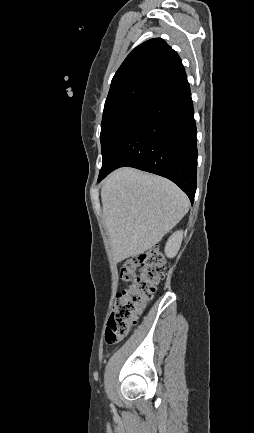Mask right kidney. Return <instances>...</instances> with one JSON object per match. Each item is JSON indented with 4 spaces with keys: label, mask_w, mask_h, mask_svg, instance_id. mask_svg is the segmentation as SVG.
Listing matches in <instances>:
<instances>
[{
    "label": "right kidney",
    "mask_w": 254,
    "mask_h": 433,
    "mask_svg": "<svg viewBox=\"0 0 254 433\" xmlns=\"http://www.w3.org/2000/svg\"><path fill=\"white\" fill-rule=\"evenodd\" d=\"M182 240H183L182 231H177L170 236L165 246V254L167 257L173 258L176 256L177 252L180 249Z\"/></svg>",
    "instance_id": "1"
}]
</instances>
